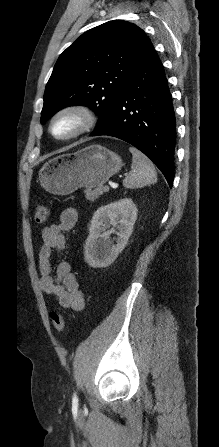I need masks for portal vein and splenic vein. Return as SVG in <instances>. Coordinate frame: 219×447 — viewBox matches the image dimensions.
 I'll return each mask as SVG.
<instances>
[{"label": "portal vein and splenic vein", "mask_w": 219, "mask_h": 447, "mask_svg": "<svg viewBox=\"0 0 219 447\" xmlns=\"http://www.w3.org/2000/svg\"><path fill=\"white\" fill-rule=\"evenodd\" d=\"M103 191H109V186H108L107 184H105V185L103 186Z\"/></svg>", "instance_id": "obj_1"}]
</instances>
